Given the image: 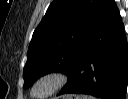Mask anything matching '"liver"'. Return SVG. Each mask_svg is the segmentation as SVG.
Returning a JSON list of instances; mask_svg holds the SVG:
<instances>
[{
	"instance_id": "liver-1",
	"label": "liver",
	"mask_w": 128,
	"mask_h": 99,
	"mask_svg": "<svg viewBox=\"0 0 128 99\" xmlns=\"http://www.w3.org/2000/svg\"><path fill=\"white\" fill-rule=\"evenodd\" d=\"M66 99H72V96H66ZM76 99H81V97L77 96Z\"/></svg>"
}]
</instances>
